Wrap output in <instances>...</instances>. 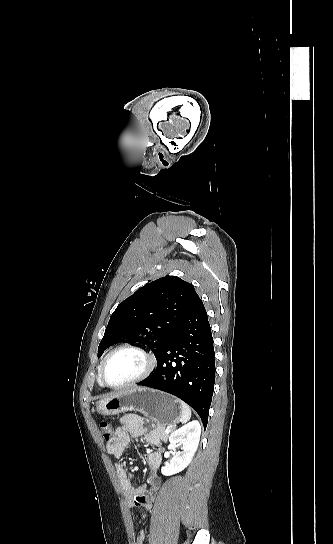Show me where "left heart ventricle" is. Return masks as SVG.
Segmentation results:
<instances>
[{
  "label": "left heart ventricle",
  "instance_id": "obj_1",
  "mask_svg": "<svg viewBox=\"0 0 333 544\" xmlns=\"http://www.w3.org/2000/svg\"><path fill=\"white\" fill-rule=\"evenodd\" d=\"M145 365L143 357L133 351H120L114 354L105 368V378L112 385L131 380L141 373Z\"/></svg>",
  "mask_w": 333,
  "mask_h": 544
}]
</instances>
